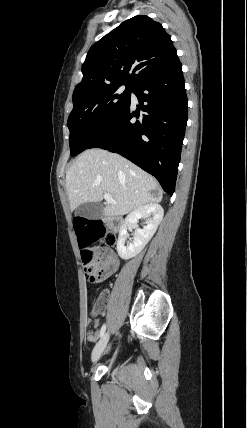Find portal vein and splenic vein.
I'll return each instance as SVG.
<instances>
[{"instance_id": "1", "label": "portal vein and splenic vein", "mask_w": 247, "mask_h": 428, "mask_svg": "<svg viewBox=\"0 0 247 428\" xmlns=\"http://www.w3.org/2000/svg\"><path fill=\"white\" fill-rule=\"evenodd\" d=\"M104 199H105L107 202H109V203L116 204V202L113 200V198L111 197V195H110V194H108V193H105V194H104Z\"/></svg>"}]
</instances>
